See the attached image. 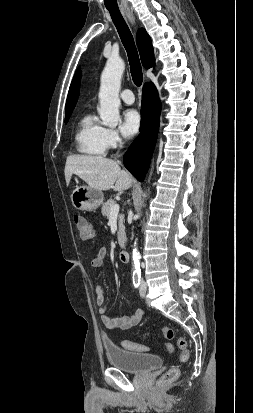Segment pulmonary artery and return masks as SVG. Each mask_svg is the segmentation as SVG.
I'll list each match as a JSON object with an SVG mask.
<instances>
[{
    "label": "pulmonary artery",
    "mask_w": 253,
    "mask_h": 413,
    "mask_svg": "<svg viewBox=\"0 0 253 413\" xmlns=\"http://www.w3.org/2000/svg\"><path fill=\"white\" fill-rule=\"evenodd\" d=\"M120 97L126 104H132L135 100L134 94L130 89L123 90L120 94Z\"/></svg>",
    "instance_id": "obj_1"
}]
</instances>
